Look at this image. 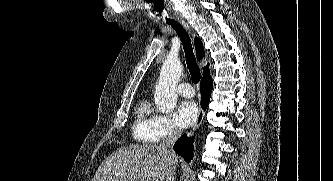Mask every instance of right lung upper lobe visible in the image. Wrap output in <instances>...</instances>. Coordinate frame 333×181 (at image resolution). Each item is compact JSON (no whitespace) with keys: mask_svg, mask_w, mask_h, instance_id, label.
Returning a JSON list of instances; mask_svg holds the SVG:
<instances>
[{"mask_svg":"<svg viewBox=\"0 0 333 181\" xmlns=\"http://www.w3.org/2000/svg\"><path fill=\"white\" fill-rule=\"evenodd\" d=\"M195 49H196L197 59L198 60L202 59V57L204 56V49H203L202 42L198 38H195ZM208 77H210V76H209V67L207 65L206 67H204L203 78H208Z\"/></svg>","mask_w":333,"mask_h":181,"instance_id":"cb5924a9","label":"right lung upper lobe"}]
</instances>
